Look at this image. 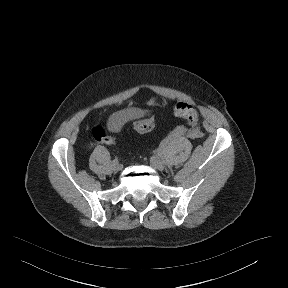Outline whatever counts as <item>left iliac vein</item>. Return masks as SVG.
<instances>
[{
	"instance_id": "4c4485c4",
	"label": "left iliac vein",
	"mask_w": 288,
	"mask_h": 288,
	"mask_svg": "<svg viewBox=\"0 0 288 288\" xmlns=\"http://www.w3.org/2000/svg\"><path fill=\"white\" fill-rule=\"evenodd\" d=\"M150 165H151V167L158 169V170H163V168H164L163 161L160 158L155 157V156L151 157Z\"/></svg>"
}]
</instances>
